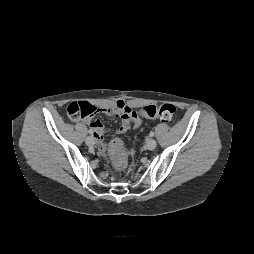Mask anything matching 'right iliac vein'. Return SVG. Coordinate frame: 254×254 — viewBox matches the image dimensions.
<instances>
[{
    "label": "right iliac vein",
    "mask_w": 254,
    "mask_h": 254,
    "mask_svg": "<svg viewBox=\"0 0 254 254\" xmlns=\"http://www.w3.org/2000/svg\"><path fill=\"white\" fill-rule=\"evenodd\" d=\"M85 142L89 147H92L95 144V140L92 136H88Z\"/></svg>",
    "instance_id": "63e3f726"
}]
</instances>
